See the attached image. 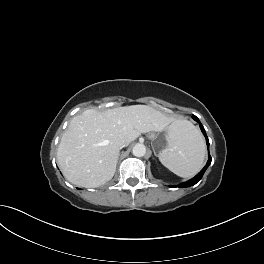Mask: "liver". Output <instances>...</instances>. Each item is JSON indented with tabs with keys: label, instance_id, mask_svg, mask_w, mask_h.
<instances>
[{
	"label": "liver",
	"instance_id": "liver-1",
	"mask_svg": "<svg viewBox=\"0 0 264 264\" xmlns=\"http://www.w3.org/2000/svg\"><path fill=\"white\" fill-rule=\"evenodd\" d=\"M177 121L147 105H132L73 117L57 149L58 164L72 184L96 188L112 179L119 142L129 145L141 133L160 132ZM173 130V129H172Z\"/></svg>",
	"mask_w": 264,
	"mask_h": 264
}]
</instances>
